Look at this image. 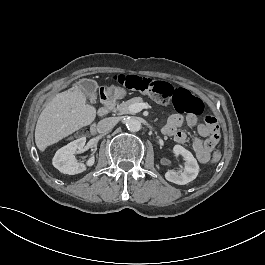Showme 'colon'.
Here are the masks:
<instances>
[{"instance_id":"1","label":"colon","mask_w":265,"mask_h":265,"mask_svg":"<svg viewBox=\"0 0 265 265\" xmlns=\"http://www.w3.org/2000/svg\"><path fill=\"white\" fill-rule=\"evenodd\" d=\"M113 79L118 85L131 91L150 96L160 103L172 104L177 113L200 115L204 111L203 102L199 97L193 95L186 88L174 86L167 81L134 74H119L115 75ZM220 157L221 153L216 151L211 157V162H218Z\"/></svg>"}]
</instances>
